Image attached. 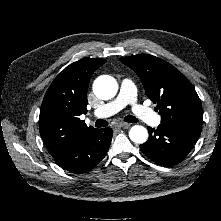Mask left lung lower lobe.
<instances>
[{
  "label": "left lung lower lobe",
  "instance_id": "1",
  "mask_svg": "<svg viewBox=\"0 0 221 221\" xmlns=\"http://www.w3.org/2000/svg\"><path fill=\"white\" fill-rule=\"evenodd\" d=\"M149 139L141 151L162 166L182 161L198 140L201 128L160 124L157 130L148 127Z\"/></svg>",
  "mask_w": 221,
  "mask_h": 221
}]
</instances>
